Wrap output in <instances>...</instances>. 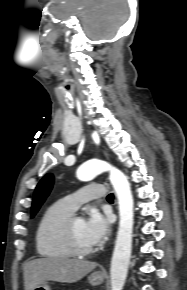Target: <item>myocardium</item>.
<instances>
[{"instance_id":"1","label":"myocardium","mask_w":187,"mask_h":290,"mask_svg":"<svg viewBox=\"0 0 187 290\" xmlns=\"http://www.w3.org/2000/svg\"><path fill=\"white\" fill-rule=\"evenodd\" d=\"M78 216L75 214L70 215L62 225V236L64 242L71 253L75 256H87L96 251V247H83L78 242L74 232V220Z\"/></svg>"}]
</instances>
